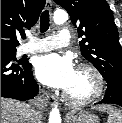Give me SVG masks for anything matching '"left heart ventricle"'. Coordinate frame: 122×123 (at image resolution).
<instances>
[{"instance_id":"left-heart-ventricle-1","label":"left heart ventricle","mask_w":122,"mask_h":123,"mask_svg":"<svg viewBox=\"0 0 122 123\" xmlns=\"http://www.w3.org/2000/svg\"><path fill=\"white\" fill-rule=\"evenodd\" d=\"M96 88V79L88 70H76L75 78L66 91L74 98H84L94 92Z\"/></svg>"}]
</instances>
